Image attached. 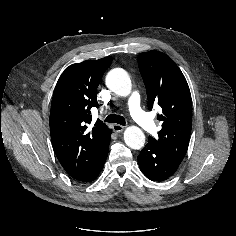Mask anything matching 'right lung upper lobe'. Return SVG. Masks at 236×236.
Masks as SVG:
<instances>
[{
	"mask_svg": "<svg viewBox=\"0 0 236 236\" xmlns=\"http://www.w3.org/2000/svg\"><path fill=\"white\" fill-rule=\"evenodd\" d=\"M112 57L69 66L60 76L51 103L50 133L54 152L65 171L77 179L106 152L111 130L97 120V88Z\"/></svg>",
	"mask_w": 236,
	"mask_h": 236,
	"instance_id": "right-lung-upper-lobe-1",
	"label": "right lung upper lobe"
}]
</instances>
